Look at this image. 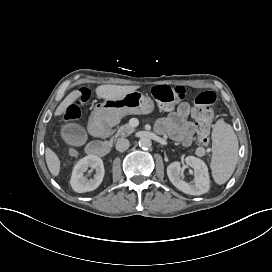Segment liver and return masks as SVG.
<instances>
[{
	"mask_svg": "<svg viewBox=\"0 0 272 272\" xmlns=\"http://www.w3.org/2000/svg\"><path fill=\"white\" fill-rule=\"evenodd\" d=\"M139 86H119V85H100L96 88L98 98L117 99L138 89ZM80 95L78 90H75L67 95V97L60 103L55 111V115H61L66 107L72 104ZM45 158L49 171L53 176H57L60 170V160L57 155L50 149L46 148Z\"/></svg>",
	"mask_w": 272,
	"mask_h": 272,
	"instance_id": "6515ba94",
	"label": "liver"
}]
</instances>
